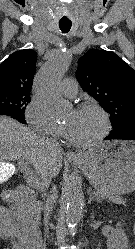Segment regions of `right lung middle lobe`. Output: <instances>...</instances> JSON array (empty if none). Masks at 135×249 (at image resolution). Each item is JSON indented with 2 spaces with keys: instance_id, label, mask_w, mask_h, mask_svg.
Listing matches in <instances>:
<instances>
[{
  "instance_id": "1",
  "label": "right lung middle lobe",
  "mask_w": 135,
  "mask_h": 249,
  "mask_svg": "<svg viewBox=\"0 0 135 249\" xmlns=\"http://www.w3.org/2000/svg\"><path fill=\"white\" fill-rule=\"evenodd\" d=\"M29 102V93L11 91L0 92V111H6L24 118V111Z\"/></svg>"
}]
</instances>
